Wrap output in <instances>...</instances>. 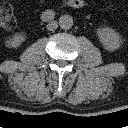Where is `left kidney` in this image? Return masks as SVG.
<instances>
[{
	"label": "left kidney",
	"instance_id": "5707ae66",
	"mask_svg": "<svg viewBox=\"0 0 128 128\" xmlns=\"http://www.w3.org/2000/svg\"><path fill=\"white\" fill-rule=\"evenodd\" d=\"M97 35L101 44L108 51H115L123 44L121 36L110 27L99 28L97 30Z\"/></svg>",
	"mask_w": 128,
	"mask_h": 128
}]
</instances>
